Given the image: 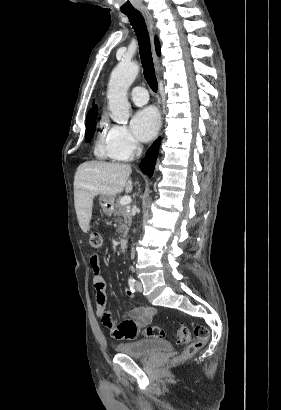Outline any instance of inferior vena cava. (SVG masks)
<instances>
[{
  "label": "inferior vena cava",
  "mask_w": 281,
  "mask_h": 410,
  "mask_svg": "<svg viewBox=\"0 0 281 410\" xmlns=\"http://www.w3.org/2000/svg\"><path fill=\"white\" fill-rule=\"evenodd\" d=\"M141 151H142V149L141 148H139V150H138V156L141 154Z\"/></svg>",
  "instance_id": "inferior-vena-cava-1"
}]
</instances>
